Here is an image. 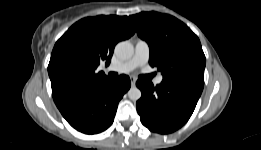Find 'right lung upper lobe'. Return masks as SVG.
<instances>
[{
  "label": "right lung upper lobe",
  "mask_w": 261,
  "mask_h": 150,
  "mask_svg": "<svg viewBox=\"0 0 261 150\" xmlns=\"http://www.w3.org/2000/svg\"><path fill=\"white\" fill-rule=\"evenodd\" d=\"M134 33L127 16L88 17L72 25L56 42L48 65L57 107L109 81L95 69L101 61L109 65L115 45Z\"/></svg>",
  "instance_id": "1"
}]
</instances>
